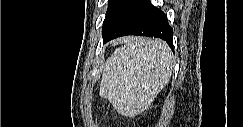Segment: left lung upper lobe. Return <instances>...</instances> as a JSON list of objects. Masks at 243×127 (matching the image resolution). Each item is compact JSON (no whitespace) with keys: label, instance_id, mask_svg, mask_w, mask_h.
I'll use <instances>...</instances> for the list:
<instances>
[{"label":"left lung upper lobe","instance_id":"5c2ea615","mask_svg":"<svg viewBox=\"0 0 243 127\" xmlns=\"http://www.w3.org/2000/svg\"><path fill=\"white\" fill-rule=\"evenodd\" d=\"M122 0H109L108 1V10H107V13H106V16H105V19H104V22H103V27L106 26V19H107V16L118 6V4L121 2Z\"/></svg>","mask_w":243,"mask_h":127}]
</instances>
